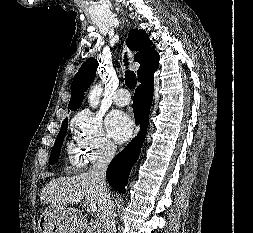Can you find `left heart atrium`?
Returning <instances> with one entry per match:
<instances>
[{"label":"left heart atrium","mask_w":253,"mask_h":233,"mask_svg":"<svg viewBox=\"0 0 253 233\" xmlns=\"http://www.w3.org/2000/svg\"><path fill=\"white\" fill-rule=\"evenodd\" d=\"M106 127L110 137L119 143L126 141L132 131V119L124 112L112 111L106 118Z\"/></svg>","instance_id":"39dd6f15"}]
</instances>
